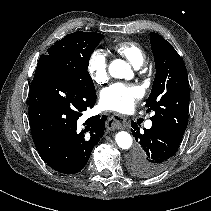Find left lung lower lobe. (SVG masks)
Instances as JSON below:
<instances>
[{"mask_svg":"<svg viewBox=\"0 0 211 211\" xmlns=\"http://www.w3.org/2000/svg\"><path fill=\"white\" fill-rule=\"evenodd\" d=\"M131 127L139 147L129 157L130 172L142 178L160 174L170 164L183 137L156 123L144 132H140L136 122L132 121Z\"/></svg>","mask_w":211,"mask_h":211,"instance_id":"obj_1","label":"left lung lower lobe"}]
</instances>
